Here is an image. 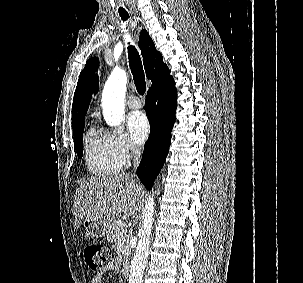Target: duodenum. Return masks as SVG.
<instances>
[{
    "mask_svg": "<svg viewBox=\"0 0 303 283\" xmlns=\"http://www.w3.org/2000/svg\"><path fill=\"white\" fill-rule=\"evenodd\" d=\"M122 271H123L124 276L126 278H128L130 276V272H131L130 264L129 263H125L123 265Z\"/></svg>",
    "mask_w": 303,
    "mask_h": 283,
    "instance_id": "1",
    "label": "duodenum"
}]
</instances>
